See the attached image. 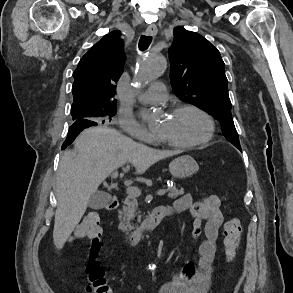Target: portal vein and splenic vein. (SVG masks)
Segmentation results:
<instances>
[{
  "instance_id": "obj_1",
  "label": "portal vein and splenic vein",
  "mask_w": 293,
  "mask_h": 293,
  "mask_svg": "<svg viewBox=\"0 0 293 293\" xmlns=\"http://www.w3.org/2000/svg\"><path fill=\"white\" fill-rule=\"evenodd\" d=\"M111 177L114 178V179L117 178L118 177V171L117 170L114 171L112 173ZM126 190H127V193L129 195H132V196H135V197H138V196L141 195V190L139 188H137V187H131L130 186V187H127ZM165 193H166L165 189H160V190L157 191L158 196H163V195H165Z\"/></svg>"
}]
</instances>
